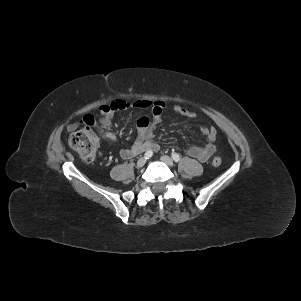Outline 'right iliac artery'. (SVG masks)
Wrapping results in <instances>:
<instances>
[{"label":"right iliac artery","mask_w":301,"mask_h":301,"mask_svg":"<svg viewBox=\"0 0 301 301\" xmlns=\"http://www.w3.org/2000/svg\"><path fill=\"white\" fill-rule=\"evenodd\" d=\"M152 155H153V152H152L151 150H148V151L145 153V158H146V159H149V158L152 157Z\"/></svg>","instance_id":"obj_1"}]
</instances>
